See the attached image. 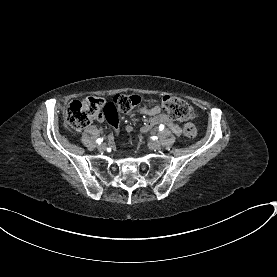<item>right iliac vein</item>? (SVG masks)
I'll use <instances>...</instances> for the list:
<instances>
[{"instance_id":"1","label":"right iliac vein","mask_w":277,"mask_h":277,"mask_svg":"<svg viewBox=\"0 0 277 277\" xmlns=\"http://www.w3.org/2000/svg\"><path fill=\"white\" fill-rule=\"evenodd\" d=\"M105 149H106V144L105 143H102V144L98 145V150L104 151Z\"/></svg>"}]
</instances>
